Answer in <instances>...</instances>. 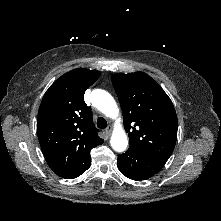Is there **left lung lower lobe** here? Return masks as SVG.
I'll list each match as a JSON object with an SVG mask.
<instances>
[{
	"label": "left lung lower lobe",
	"mask_w": 221,
	"mask_h": 221,
	"mask_svg": "<svg viewBox=\"0 0 221 221\" xmlns=\"http://www.w3.org/2000/svg\"><path fill=\"white\" fill-rule=\"evenodd\" d=\"M164 164L131 148L119 155L117 159L120 172L132 180L148 179L155 175Z\"/></svg>",
	"instance_id": "0a47b994"
}]
</instances>
